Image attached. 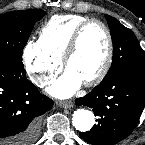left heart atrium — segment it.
Wrapping results in <instances>:
<instances>
[{
  "instance_id": "obj_1",
  "label": "left heart atrium",
  "mask_w": 145,
  "mask_h": 145,
  "mask_svg": "<svg viewBox=\"0 0 145 145\" xmlns=\"http://www.w3.org/2000/svg\"><path fill=\"white\" fill-rule=\"evenodd\" d=\"M82 80L73 72L64 74L49 88V92L59 98L71 96L81 85Z\"/></svg>"
}]
</instances>
